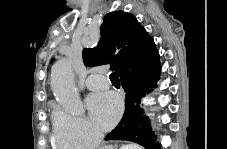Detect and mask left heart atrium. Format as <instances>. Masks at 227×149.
I'll list each match as a JSON object with an SVG mask.
<instances>
[{
  "label": "left heart atrium",
  "mask_w": 227,
  "mask_h": 149,
  "mask_svg": "<svg viewBox=\"0 0 227 149\" xmlns=\"http://www.w3.org/2000/svg\"><path fill=\"white\" fill-rule=\"evenodd\" d=\"M87 106L94 124L102 130L110 129L120 118L122 100L114 92L92 94Z\"/></svg>",
  "instance_id": "39dd6f15"
}]
</instances>
